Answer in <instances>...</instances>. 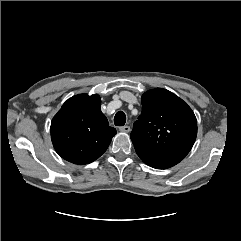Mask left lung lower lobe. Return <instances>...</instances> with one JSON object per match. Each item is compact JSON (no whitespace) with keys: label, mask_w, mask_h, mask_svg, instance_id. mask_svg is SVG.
Here are the masks:
<instances>
[{"label":"left lung lower lobe","mask_w":241,"mask_h":241,"mask_svg":"<svg viewBox=\"0 0 241 241\" xmlns=\"http://www.w3.org/2000/svg\"><path fill=\"white\" fill-rule=\"evenodd\" d=\"M141 160L156 169H167L178 164L185 156L181 154L158 153L134 146Z\"/></svg>","instance_id":"obj_1"}]
</instances>
